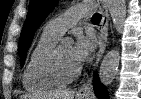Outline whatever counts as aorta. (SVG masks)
<instances>
[{"mask_svg":"<svg viewBox=\"0 0 141 99\" xmlns=\"http://www.w3.org/2000/svg\"><path fill=\"white\" fill-rule=\"evenodd\" d=\"M105 2L114 28L117 32H122L126 18V0H105ZM119 62L120 52L117 48L106 53L99 69V78L104 86L108 87L114 80Z\"/></svg>","mask_w":141,"mask_h":99,"instance_id":"1","label":"aorta"}]
</instances>
